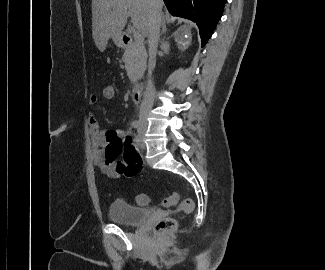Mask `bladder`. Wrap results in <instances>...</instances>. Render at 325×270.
<instances>
[{"instance_id": "bladder-1", "label": "bladder", "mask_w": 325, "mask_h": 270, "mask_svg": "<svg viewBox=\"0 0 325 270\" xmlns=\"http://www.w3.org/2000/svg\"><path fill=\"white\" fill-rule=\"evenodd\" d=\"M150 215L149 209L135 206L123 199H114L108 212L109 220L130 227L142 225Z\"/></svg>"}]
</instances>
